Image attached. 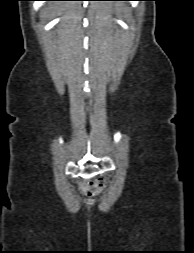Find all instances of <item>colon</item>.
<instances>
[{"label": "colon", "instance_id": "1", "mask_svg": "<svg viewBox=\"0 0 194 253\" xmlns=\"http://www.w3.org/2000/svg\"><path fill=\"white\" fill-rule=\"evenodd\" d=\"M105 186V182L103 179H96L93 181L83 182L82 188L84 192L89 195L98 194Z\"/></svg>", "mask_w": 194, "mask_h": 253}]
</instances>
